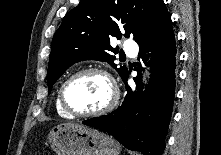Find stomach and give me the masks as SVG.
I'll return each instance as SVG.
<instances>
[{
    "label": "stomach",
    "instance_id": "obj_1",
    "mask_svg": "<svg viewBox=\"0 0 221 155\" xmlns=\"http://www.w3.org/2000/svg\"><path fill=\"white\" fill-rule=\"evenodd\" d=\"M57 155H119V144L107 134L78 124H60L49 135Z\"/></svg>",
    "mask_w": 221,
    "mask_h": 155
}]
</instances>
